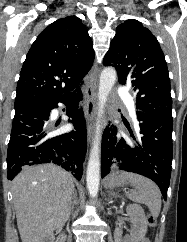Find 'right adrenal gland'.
I'll use <instances>...</instances> for the list:
<instances>
[{
	"mask_svg": "<svg viewBox=\"0 0 187 242\" xmlns=\"http://www.w3.org/2000/svg\"><path fill=\"white\" fill-rule=\"evenodd\" d=\"M76 203H77V193L75 192L74 196H73V202H72V211H73L74 206L76 205Z\"/></svg>",
	"mask_w": 187,
	"mask_h": 242,
	"instance_id": "right-adrenal-gland-1",
	"label": "right adrenal gland"
}]
</instances>
